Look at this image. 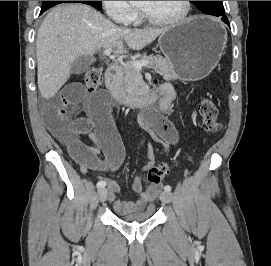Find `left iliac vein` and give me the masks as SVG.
I'll return each instance as SVG.
<instances>
[{
	"instance_id": "1",
	"label": "left iliac vein",
	"mask_w": 271,
	"mask_h": 266,
	"mask_svg": "<svg viewBox=\"0 0 271 266\" xmlns=\"http://www.w3.org/2000/svg\"><path fill=\"white\" fill-rule=\"evenodd\" d=\"M160 200L164 203H170L172 201V194L164 191L160 194Z\"/></svg>"
}]
</instances>
